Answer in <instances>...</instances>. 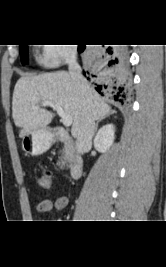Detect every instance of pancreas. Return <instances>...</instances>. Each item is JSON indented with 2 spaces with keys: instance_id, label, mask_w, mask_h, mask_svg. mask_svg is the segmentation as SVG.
<instances>
[{
  "instance_id": "cf45deb5",
  "label": "pancreas",
  "mask_w": 166,
  "mask_h": 267,
  "mask_svg": "<svg viewBox=\"0 0 166 267\" xmlns=\"http://www.w3.org/2000/svg\"><path fill=\"white\" fill-rule=\"evenodd\" d=\"M73 160V152L68 144H64V148L61 150V156L58 160V166L61 169H64L65 167H69V163H71Z\"/></svg>"
}]
</instances>
